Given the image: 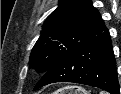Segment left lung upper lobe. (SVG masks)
<instances>
[{"label": "left lung upper lobe", "instance_id": "left-lung-upper-lobe-1", "mask_svg": "<svg viewBox=\"0 0 121 94\" xmlns=\"http://www.w3.org/2000/svg\"><path fill=\"white\" fill-rule=\"evenodd\" d=\"M107 28L91 0H60L44 22L30 55V66L47 72L76 48Z\"/></svg>", "mask_w": 121, "mask_h": 94}]
</instances>
